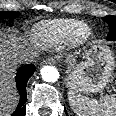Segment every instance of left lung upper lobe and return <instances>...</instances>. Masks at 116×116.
<instances>
[{
	"label": "left lung upper lobe",
	"mask_w": 116,
	"mask_h": 116,
	"mask_svg": "<svg viewBox=\"0 0 116 116\" xmlns=\"http://www.w3.org/2000/svg\"><path fill=\"white\" fill-rule=\"evenodd\" d=\"M102 19L109 25L108 41H116V16H106Z\"/></svg>",
	"instance_id": "1"
}]
</instances>
